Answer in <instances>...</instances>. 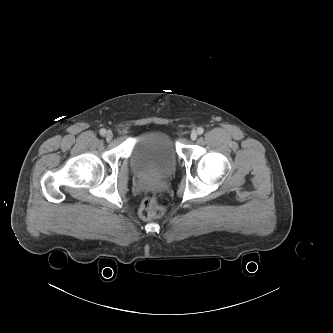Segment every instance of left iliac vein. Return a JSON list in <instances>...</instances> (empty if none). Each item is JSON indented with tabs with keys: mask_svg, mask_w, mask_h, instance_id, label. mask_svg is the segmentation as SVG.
<instances>
[{
	"mask_svg": "<svg viewBox=\"0 0 333 333\" xmlns=\"http://www.w3.org/2000/svg\"><path fill=\"white\" fill-rule=\"evenodd\" d=\"M190 138H191V140H196V138H197V132L196 131H192L191 134H190Z\"/></svg>",
	"mask_w": 333,
	"mask_h": 333,
	"instance_id": "1",
	"label": "left iliac vein"
}]
</instances>
